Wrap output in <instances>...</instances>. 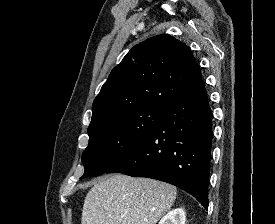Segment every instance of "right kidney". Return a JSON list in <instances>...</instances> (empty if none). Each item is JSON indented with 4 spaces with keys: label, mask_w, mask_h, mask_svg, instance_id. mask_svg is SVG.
<instances>
[{
    "label": "right kidney",
    "mask_w": 275,
    "mask_h": 224,
    "mask_svg": "<svg viewBox=\"0 0 275 224\" xmlns=\"http://www.w3.org/2000/svg\"><path fill=\"white\" fill-rule=\"evenodd\" d=\"M186 216L182 208L169 211L159 222V224H185Z\"/></svg>",
    "instance_id": "obj_1"
}]
</instances>
